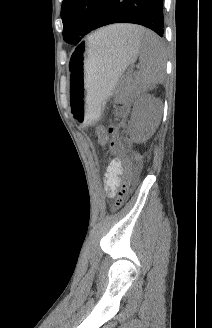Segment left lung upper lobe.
Segmentation results:
<instances>
[{"label": "left lung upper lobe", "mask_w": 212, "mask_h": 328, "mask_svg": "<svg viewBox=\"0 0 212 328\" xmlns=\"http://www.w3.org/2000/svg\"><path fill=\"white\" fill-rule=\"evenodd\" d=\"M104 0H63L61 17L63 38L69 44L79 43L93 30Z\"/></svg>", "instance_id": "1"}]
</instances>
